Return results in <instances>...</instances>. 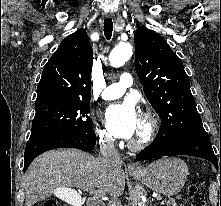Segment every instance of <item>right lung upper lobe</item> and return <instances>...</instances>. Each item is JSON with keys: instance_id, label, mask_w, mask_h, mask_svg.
Wrapping results in <instances>:
<instances>
[{"instance_id": "1", "label": "right lung upper lobe", "mask_w": 221, "mask_h": 206, "mask_svg": "<svg viewBox=\"0 0 221 206\" xmlns=\"http://www.w3.org/2000/svg\"><path fill=\"white\" fill-rule=\"evenodd\" d=\"M93 51L87 33L66 37L46 63L37 87L35 106L51 103H89Z\"/></svg>"}]
</instances>
